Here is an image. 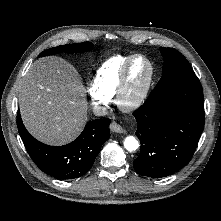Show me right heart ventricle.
<instances>
[{
    "instance_id": "right-heart-ventricle-1",
    "label": "right heart ventricle",
    "mask_w": 221,
    "mask_h": 221,
    "mask_svg": "<svg viewBox=\"0 0 221 221\" xmlns=\"http://www.w3.org/2000/svg\"><path fill=\"white\" fill-rule=\"evenodd\" d=\"M132 56L115 55L99 67L93 81V86L98 93L109 100L115 96L122 70Z\"/></svg>"
}]
</instances>
